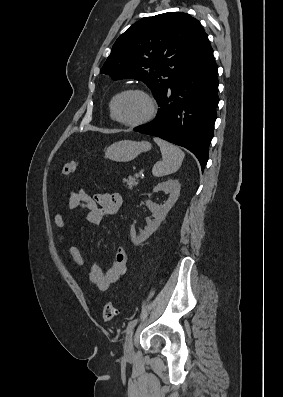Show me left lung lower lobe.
Instances as JSON below:
<instances>
[{"mask_svg":"<svg viewBox=\"0 0 283 397\" xmlns=\"http://www.w3.org/2000/svg\"><path fill=\"white\" fill-rule=\"evenodd\" d=\"M217 69L210 48L174 80L158 101L161 107L157 117L134 131L185 147L197 157L204 170L217 118Z\"/></svg>","mask_w":283,"mask_h":397,"instance_id":"0a47b994","label":"left lung lower lobe"}]
</instances>
